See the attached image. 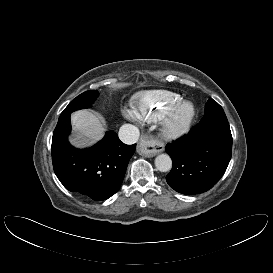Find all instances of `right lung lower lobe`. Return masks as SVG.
I'll list each match as a JSON object with an SVG mask.
<instances>
[{"label": "right lung lower lobe", "instance_id": "98d812e1", "mask_svg": "<svg viewBox=\"0 0 273 273\" xmlns=\"http://www.w3.org/2000/svg\"><path fill=\"white\" fill-rule=\"evenodd\" d=\"M70 115L58 120L52 138V163L66 189L92 198L108 199L120 188L136 144L126 145L113 131L93 147L80 150L70 145Z\"/></svg>", "mask_w": 273, "mask_h": 273}]
</instances>
